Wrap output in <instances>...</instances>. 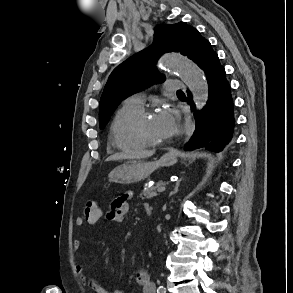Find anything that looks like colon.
Masks as SVG:
<instances>
[{
    "label": "colon",
    "instance_id": "obj_1",
    "mask_svg": "<svg viewBox=\"0 0 293 293\" xmlns=\"http://www.w3.org/2000/svg\"><path fill=\"white\" fill-rule=\"evenodd\" d=\"M101 215L100 206L93 201H89L85 204L83 210L84 220L90 224H94L98 221Z\"/></svg>",
    "mask_w": 293,
    "mask_h": 293
}]
</instances>
